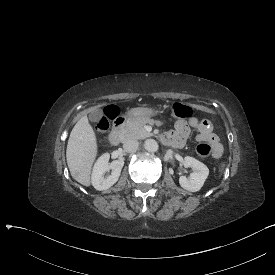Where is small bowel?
<instances>
[{
  "instance_id": "1",
  "label": "small bowel",
  "mask_w": 275,
  "mask_h": 275,
  "mask_svg": "<svg viewBox=\"0 0 275 275\" xmlns=\"http://www.w3.org/2000/svg\"><path fill=\"white\" fill-rule=\"evenodd\" d=\"M194 129L198 130L196 139L210 143L213 148V157L219 158L223 152V147L219 142L218 136L213 132L212 124L208 120L199 121L197 118H192L189 121H178L176 124V132L168 133L165 136L178 135L183 144L190 132Z\"/></svg>"
}]
</instances>
